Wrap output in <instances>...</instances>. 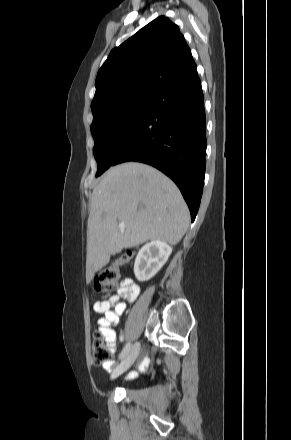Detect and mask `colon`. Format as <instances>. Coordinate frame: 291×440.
Instances as JSON below:
<instances>
[{"mask_svg":"<svg viewBox=\"0 0 291 440\" xmlns=\"http://www.w3.org/2000/svg\"><path fill=\"white\" fill-rule=\"evenodd\" d=\"M124 263V258L117 259L97 273L94 278L96 293H108L117 288L121 277V266ZM91 353L95 364H103L112 357L107 344L98 335L93 339Z\"/></svg>","mask_w":291,"mask_h":440,"instance_id":"obj_1","label":"colon"}]
</instances>
